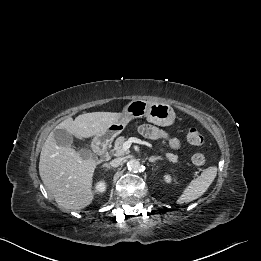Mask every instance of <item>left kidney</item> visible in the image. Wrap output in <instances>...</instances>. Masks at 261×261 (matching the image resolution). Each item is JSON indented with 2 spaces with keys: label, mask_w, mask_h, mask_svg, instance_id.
Returning a JSON list of instances; mask_svg holds the SVG:
<instances>
[{
  "label": "left kidney",
  "mask_w": 261,
  "mask_h": 261,
  "mask_svg": "<svg viewBox=\"0 0 261 261\" xmlns=\"http://www.w3.org/2000/svg\"><path fill=\"white\" fill-rule=\"evenodd\" d=\"M164 179H165V182H167V183H170L172 180L170 175H165Z\"/></svg>",
  "instance_id": "obj_1"
}]
</instances>
